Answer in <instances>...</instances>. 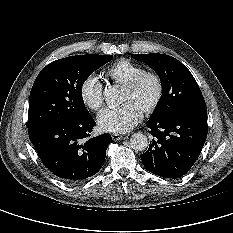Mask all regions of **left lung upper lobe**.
<instances>
[{"instance_id": "1", "label": "left lung upper lobe", "mask_w": 233, "mask_h": 233, "mask_svg": "<svg viewBox=\"0 0 233 233\" xmlns=\"http://www.w3.org/2000/svg\"><path fill=\"white\" fill-rule=\"evenodd\" d=\"M132 57L149 65L161 79L162 97L149 122L181 111L207 112L198 84L180 61L158 53L133 54Z\"/></svg>"}]
</instances>
